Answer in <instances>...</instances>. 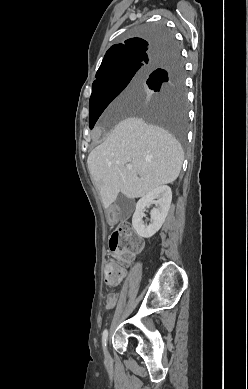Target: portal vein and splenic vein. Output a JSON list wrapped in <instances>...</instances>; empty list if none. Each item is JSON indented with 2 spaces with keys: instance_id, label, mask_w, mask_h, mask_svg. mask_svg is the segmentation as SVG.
Instances as JSON below:
<instances>
[{
  "instance_id": "obj_1",
  "label": "portal vein and splenic vein",
  "mask_w": 248,
  "mask_h": 389,
  "mask_svg": "<svg viewBox=\"0 0 248 389\" xmlns=\"http://www.w3.org/2000/svg\"><path fill=\"white\" fill-rule=\"evenodd\" d=\"M126 168H127L128 170H131V169H132V165H131V164H128V165L126 166Z\"/></svg>"
}]
</instances>
